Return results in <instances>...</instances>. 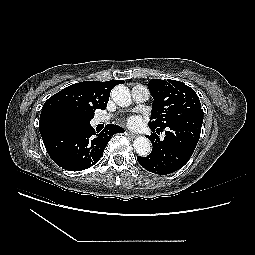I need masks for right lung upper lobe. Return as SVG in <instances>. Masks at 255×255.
<instances>
[{"instance_id":"cb5924a9","label":"right lung upper lobe","mask_w":255,"mask_h":255,"mask_svg":"<svg viewBox=\"0 0 255 255\" xmlns=\"http://www.w3.org/2000/svg\"><path fill=\"white\" fill-rule=\"evenodd\" d=\"M121 83L124 81H84L62 89L44 103L39 128L53 125L60 118L93 117L96 109H106L112 88Z\"/></svg>"}]
</instances>
